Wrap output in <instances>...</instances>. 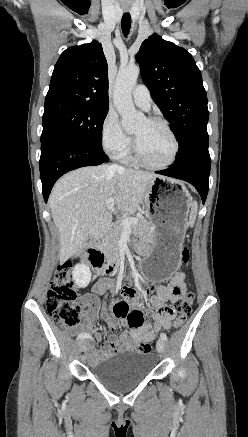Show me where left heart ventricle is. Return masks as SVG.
I'll use <instances>...</instances> for the list:
<instances>
[{
	"mask_svg": "<svg viewBox=\"0 0 248 437\" xmlns=\"http://www.w3.org/2000/svg\"><path fill=\"white\" fill-rule=\"evenodd\" d=\"M138 147L144 158L153 164L167 162L173 152V141L161 124L142 119L132 129Z\"/></svg>",
	"mask_w": 248,
	"mask_h": 437,
	"instance_id": "obj_1",
	"label": "left heart ventricle"
}]
</instances>
